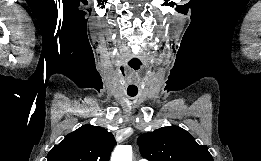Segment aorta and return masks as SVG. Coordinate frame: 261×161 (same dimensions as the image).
<instances>
[{"label": "aorta", "mask_w": 261, "mask_h": 161, "mask_svg": "<svg viewBox=\"0 0 261 161\" xmlns=\"http://www.w3.org/2000/svg\"><path fill=\"white\" fill-rule=\"evenodd\" d=\"M111 161H132V147L119 145L112 153Z\"/></svg>", "instance_id": "762f6f07"}]
</instances>
